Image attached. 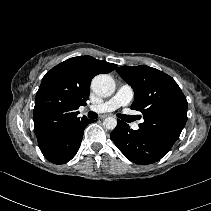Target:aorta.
I'll use <instances>...</instances> for the list:
<instances>
[{"instance_id":"aorta-1","label":"aorta","mask_w":211,"mask_h":211,"mask_svg":"<svg viewBox=\"0 0 211 211\" xmlns=\"http://www.w3.org/2000/svg\"><path fill=\"white\" fill-rule=\"evenodd\" d=\"M92 90L101 97H108L115 91V82L107 74H100L93 78L91 83ZM108 130H113L117 126V120L114 117H108L103 122Z\"/></svg>"}]
</instances>
